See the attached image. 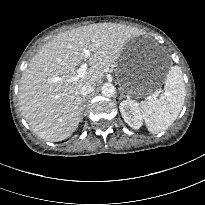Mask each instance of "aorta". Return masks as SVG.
<instances>
[{"label":"aorta","mask_w":205,"mask_h":205,"mask_svg":"<svg viewBox=\"0 0 205 205\" xmlns=\"http://www.w3.org/2000/svg\"><path fill=\"white\" fill-rule=\"evenodd\" d=\"M115 92H116V89L114 85L110 83H105L101 89V93L105 97H112L114 96Z\"/></svg>","instance_id":"obj_1"}]
</instances>
